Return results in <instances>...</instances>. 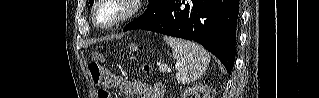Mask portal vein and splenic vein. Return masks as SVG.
Returning a JSON list of instances; mask_svg holds the SVG:
<instances>
[{
    "label": "portal vein and splenic vein",
    "instance_id": "18ae733b",
    "mask_svg": "<svg viewBox=\"0 0 319 98\" xmlns=\"http://www.w3.org/2000/svg\"><path fill=\"white\" fill-rule=\"evenodd\" d=\"M159 70L161 71H170V68L167 65H160L159 64Z\"/></svg>",
    "mask_w": 319,
    "mask_h": 98
}]
</instances>
